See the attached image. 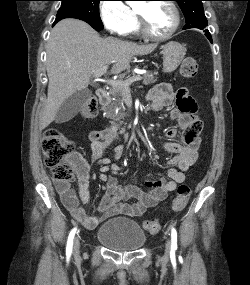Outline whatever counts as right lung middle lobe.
Segmentation results:
<instances>
[{"instance_id":"1","label":"right lung middle lobe","mask_w":250,"mask_h":285,"mask_svg":"<svg viewBox=\"0 0 250 285\" xmlns=\"http://www.w3.org/2000/svg\"><path fill=\"white\" fill-rule=\"evenodd\" d=\"M61 7L58 10L56 20L64 18H76L90 24L95 30L103 29V24L99 15V2L101 0H60Z\"/></svg>"}]
</instances>
